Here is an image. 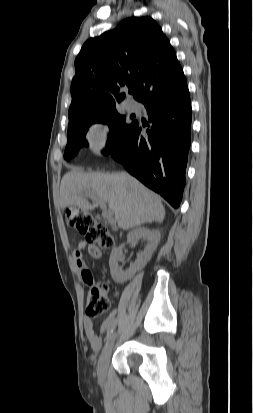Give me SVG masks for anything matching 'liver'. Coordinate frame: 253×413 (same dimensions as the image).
I'll return each instance as SVG.
<instances>
[{
	"label": "liver",
	"instance_id": "1",
	"mask_svg": "<svg viewBox=\"0 0 253 413\" xmlns=\"http://www.w3.org/2000/svg\"><path fill=\"white\" fill-rule=\"evenodd\" d=\"M87 191H93L108 204L123 230L164 220L165 208L160 197L127 172L84 173L76 169L68 172L61 181L60 207L76 205L83 210H94L97 205H91L83 197Z\"/></svg>",
	"mask_w": 253,
	"mask_h": 413
}]
</instances>
